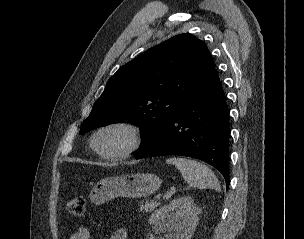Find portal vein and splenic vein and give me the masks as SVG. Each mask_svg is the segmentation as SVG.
<instances>
[{
	"label": "portal vein and splenic vein",
	"mask_w": 304,
	"mask_h": 239,
	"mask_svg": "<svg viewBox=\"0 0 304 239\" xmlns=\"http://www.w3.org/2000/svg\"><path fill=\"white\" fill-rule=\"evenodd\" d=\"M171 195V193L170 192H167L166 193V196H170ZM158 198H160V196H157Z\"/></svg>",
	"instance_id": "obj_1"
}]
</instances>
